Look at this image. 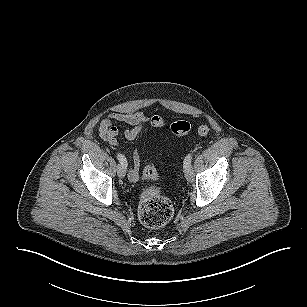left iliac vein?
<instances>
[{
	"label": "left iliac vein",
	"instance_id": "left-iliac-vein-1",
	"mask_svg": "<svg viewBox=\"0 0 307 307\" xmlns=\"http://www.w3.org/2000/svg\"><path fill=\"white\" fill-rule=\"evenodd\" d=\"M184 173H185V178L188 181H192L194 178V171H193V167L190 164L189 166H187L186 168H184Z\"/></svg>",
	"mask_w": 307,
	"mask_h": 307
}]
</instances>
